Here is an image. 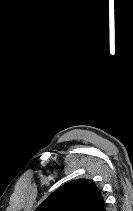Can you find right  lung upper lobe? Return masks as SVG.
Returning <instances> with one entry per match:
<instances>
[{
	"mask_svg": "<svg viewBox=\"0 0 133 211\" xmlns=\"http://www.w3.org/2000/svg\"><path fill=\"white\" fill-rule=\"evenodd\" d=\"M36 211H104V200L92 181L77 179L54 191Z\"/></svg>",
	"mask_w": 133,
	"mask_h": 211,
	"instance_id": "cb5924a9",
	"label": "right lung upper lobe"
}]
</instances>
